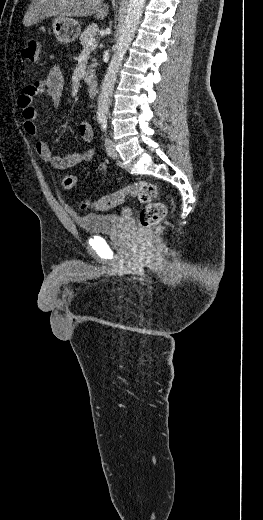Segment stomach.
I'll list each match as a JSON object with an SVG mask.
<instances>
[{
    "label": "stomach",
    "mask_w": 263,
    "mask_h": 520,
    "mask_svg": "<svg viewBox=\"0 0 263 520\" xmlns=\"http://www.w3.org/2000/svg\"><path fill=\"white\" fill-rule=\"evenodd\" d=\"M53 33L58 41L68 44L80 35L81 25L77 20L56 17L52 22Z\"/></svg>",
    "instance_id": "0dacf381"
}]
</instances>
